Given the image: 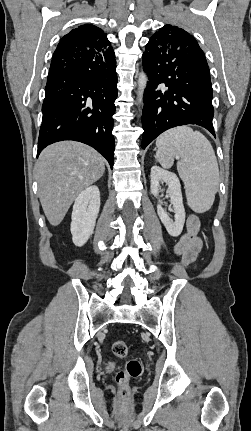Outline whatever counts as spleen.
Here are the masks:
<instances>
[{
    "mask_svg": "<svg viewBox=\"0 0 251 431\" xmlns=\"http://www.w3.org/2000/svg\"><path fill=\"white\" fill-rule=\"evenodd\" d=\"M156 146V159L164 168L172 167L175 155L181 158L177 170L189 207L196 213L208 211L219 184L218 163L208 139L188 126H179L162 133Z\"/></svg>",
    "mask_w": 251,
    "mask_h": 431,
    "instance_id": "3e777b00",
    "label": "spleen"
}]
</instances>
